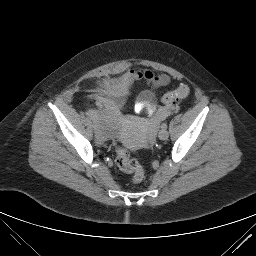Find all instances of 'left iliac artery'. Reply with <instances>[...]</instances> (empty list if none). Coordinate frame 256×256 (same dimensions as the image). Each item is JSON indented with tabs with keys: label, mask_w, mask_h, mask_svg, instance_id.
Returning <instances> with one entry per match:
<instances>
[{
	"label": "left iliac artery",
	"mask_w": 256,
	"mask_h": 256,
	"mask_svg": "<svg viewBox=\"0 0 256 256\" xmlns=\"http://www.w3.org/2000/svg\"><path fill=\"white\" fill-rule=\"evenodd\" d=\"M161 127H162V128H167V124H166V123H163V124L161 125Z\"/></svg>",
	"instance_id": "left-iliac-artery-1"
}]
</instances>
